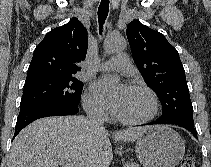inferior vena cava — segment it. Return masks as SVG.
I'll return each mask as SVG.
<instances>
[{
	"mask_svg": "<svg viewBox=\"0 0 211 167\" xmlns=\"http://www.w3.org/2000/svg\"><path fill=\"white\" fill-rule=\"evenodd\" d=\"M87 123L91 130H104V109L102 106L94 105L87 111Z\"/></svg>",
	"mask_w": 211,
	"mask_h": 167,
	"instance_id": "1",
	"label": "inferior vena cava"
}]
</instances>
